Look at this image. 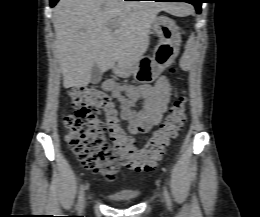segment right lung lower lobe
Returning a JSON list of instances; mask_svg holds the SVG:
<instances>
[{"instance_id":"98d812e1","label":"right lung lower lobe","mask_w":260,"mask_h":217,"mask_svg":"<svg viewBox=\"0 0 260 217\" xmlns=\"http://www.w3.org/2000/svg\"><path fill=\"white\" fill-rule=\"evenodd\" d=\"M59 0H50V6L53 7ZM127 1V0H126Z\"/></svg>"}]
</instances>
